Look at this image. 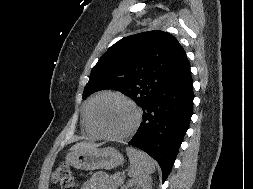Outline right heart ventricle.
Wrapping results in <instances>:
<instances>
[{
	"mask_svg": "<svg viewBox=\"0 0 253 189\" xmlns=\"http://www.w3.org/2000/svg\"><path fill=\"white\" fill-rule=\"evenodd\" d=\"M92 100H89L83 108V114H82V124L84 127V130L86 131L87 134L90 136H98V134L95 132V130L92 128L90 121H89V108L92 103Z\"/></svg>",
	"mask_w": 253,
	"mask_h": 189,
	"instance_id": "right-heart-ventricle-1",
	"label": "right heart ventricle"
}]
</instances>
